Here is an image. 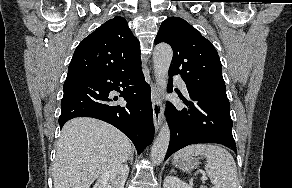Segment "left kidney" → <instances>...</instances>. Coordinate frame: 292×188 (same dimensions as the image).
Instances as JSON below:
<instances>
[{"mask_svg":"<svg viewBox=\"0 0 292 188\" xmlns=\"http://www.w3.org/2000/svg\"><path fill=\"white\" fill-rule=\"evenodd\" d=\"M163 188H193V187L181 181L177 177L167 176L164 179Z\"/></svg>","mask_w":292,"mask_h":188,"instance_id":"left-kidney-1","label":"left kidney"}]
</instances>
